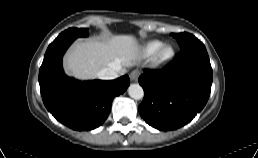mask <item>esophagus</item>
Listing matches in <instances>:
<instances>
[{
    "instance_id": "obj_1",
    "label": "esophagus",
    "mask_w": 258,
    "mask_h": 158,
    "mask_svg": "<svg viewBox=\"0 0 258 158\" xmlns=\"http://www.w3.org/2000/svg\"><path fill=\"white\" fill-rule=\"evenodd\" d=\"M140 76V72L138 70H133L131 73H130V79L131 81L133 82H136L138 80Z\"/></svg>"
}]
</instances>
